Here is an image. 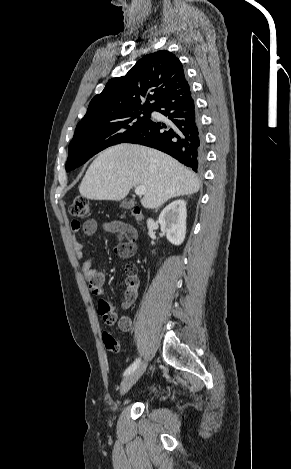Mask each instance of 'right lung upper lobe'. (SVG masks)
Here are the masks:
<instances>
[{
    "instance_id": "cb5924a9",
    "label": "right lung upper lobe",
    "mask_w": 291,
    "mask_h": 469,
    "mask_svg": "<svg viewBox=\"0 0 291 469\" xmlns=\"http://www.w3.org/2000/svg\"><path fill=\"white\" fill-rule=\"evenodd\" d=\"M186 86L180 60L173 53L160 50L140 59L125 76L112 78L102 93L91 100L82 120L136 109L153 110L170 92Z\"/></svg>"
}]
</instances>
